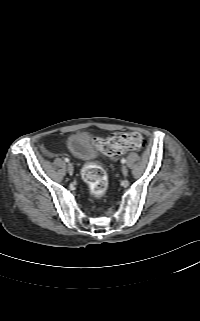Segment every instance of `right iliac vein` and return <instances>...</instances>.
Wrapping results in <instances>:
<instances>
[{"instance_id":"obj_1","label":"right iliac vein","mask_w":200,"mask_h":321,"mask_svg":"<svg viewBox=\"0 0 200 321\" xmlns=\"http://www.w3.org/2000/svg\"><path fill=\"white\" fill-rule=\"evenodd\" d=\"M67 170H68V172H69L70 174H73L74 169H73V166H72L71 163H68V164H67Z\"/></svg>"}]
</instances>
